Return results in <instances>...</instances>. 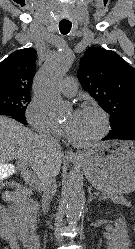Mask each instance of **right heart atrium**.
I'll return each instance as SVG.
<instances>
[{"mask_svg":"<svg viewBox=\"0 0 135 249\" xmlns=\"http://www.w3.org/2000/svg\"><path fill=\"white\" fill-rule=\"evenodd\" d=\"M25 116L29 125L39 134L61 137L64 133V129L50 117L44 105L36 98L30 101Z\"/></svg>","mask_w":135,"mask_h":249,"instance_id":"obj_1","label":"right heart atrium"}]
</instances>
